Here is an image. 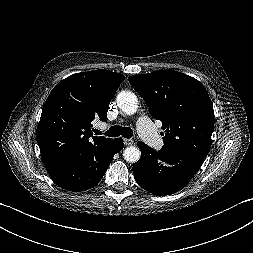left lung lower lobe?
<instances>
[{"label": "left lung lower lobe", "mask_w": 253, "mask_h": 253, "mask_svg": "<svg viewBox=\"0 0 253 253\" xmlns=\"http://www.w3.org/2000/svg\"><path fill=\"white\" fill-rule=\"evenodd\" d=\"M140 159L133 164L136 182L155 195H169L184 188L201 167L204 156L185 155L174 159L139 141Z\"/></svg>", "instance_id": "0a47b994"}]
</instances>
